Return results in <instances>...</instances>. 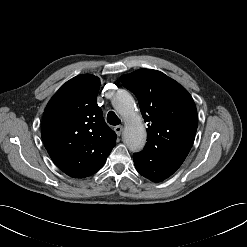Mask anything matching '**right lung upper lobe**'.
Wrapping results in <instances>:
<instances>
[{
	"label": "right lung upper lobe",
	"instance_id": "cb5924a9",
	"mask_svg": "<svg viewBox=\"0 0 247 247\" xmlns=\"http://www.w3.org/2000/svg\"><path fill=\"white\" fill-rule=\"evenodd\" d=\"M100 79L90 74L66 82L47 104L41 135L53 162L67 175L96 173L116 144L97 105Z\"/></svg>",
	"mask_w": 247,
	"mask_h": 247
}]
</instances>
